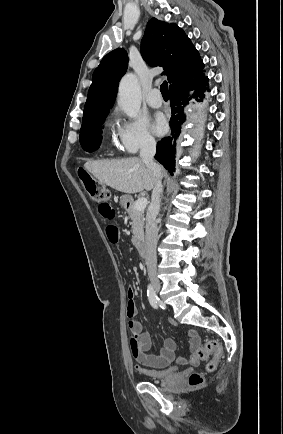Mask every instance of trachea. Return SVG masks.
<instances>
[{"instance_id": "3493384b", "label": "trachea", "mask_w": 283, "mask_h": 434, "mask_svg": "<svg viewBox=\"0 0 283 434\" xmlns=\"http://www.w3.org/2000/svg\"><path fill=\"white\" fill-rule=\"evenodd\" d=\"M160 91H161L163 97H168V96H169V94H168V83H167V81H164V82L161 84V86H160Z\"/></svg>"}]
</instances>
